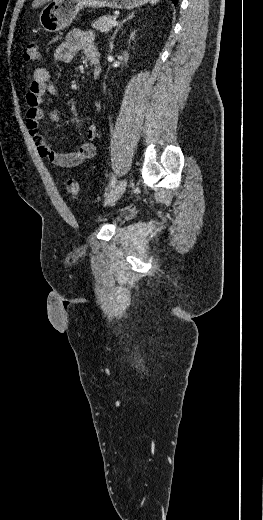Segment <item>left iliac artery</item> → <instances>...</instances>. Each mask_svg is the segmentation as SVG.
Segmentation results:
<instances>
[{
	"label": "left iliac artery",
	"mask_w": 263,
	"mask_h": 520,
	"mask_svg": "<svg viewBox=\"0 0 263 520\" xmlns=\"http://www.w3.org/2000/svg\"><path fill=\"white\" fill-rule=\"evenodd\" d=\"M116 181H117V180H116V177L113 176V177L111 178V181H110V184H109V189H111V188H113V187L115 186Z\"/></svg>",
	"instance_id": "left-iliac-artery-1"
}]
</instances>
